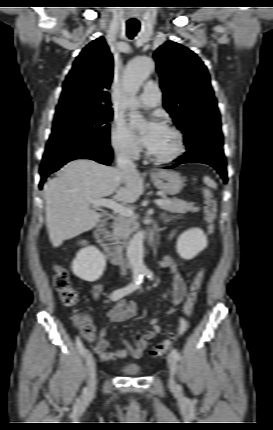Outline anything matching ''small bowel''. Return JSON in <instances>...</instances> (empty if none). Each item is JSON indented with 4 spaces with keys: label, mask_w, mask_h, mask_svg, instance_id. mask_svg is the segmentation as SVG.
Returning <instances> with one entry per match:
<instances>
[{
    "label": "small bowel",
    "mask_w": 273,
    "mask_h": 430,
    "mask_svg": "<svg viewBox=\"0 0 273 430\" xmlns=\"http://www.w3.org/2000/svg\"><path fill=\"white\" fill-rule=\"evenodd\" d=\"M157 265L161 268H166L170 274V289L163 295V299L168 301L172 307L168 310V314L172 315L175 312L174 307L179 305L185 296L186 287L180 273L178 262L170 255H166L157 261ZM104 283H97L92 289L93 296L99 298L103 291ZM138 306L132 302H127L123 299L117 301L114 306L108 311V315L114 322L127 321L136 316ZM151 329L139 330L136 332L133 342L123 339L124 348H115L110 350V342L106 338L104 329L100 332L99 340L95 345V351L102 361H109L114 358L131 357L139 359L147 349L149 342L159 333L162 328L158 324V319L153 318L149 321ZM180 323L184 325V320L180 319Z\"/></svg>",
    "instance_id": "small-bowel-1"
}]
</instances>
